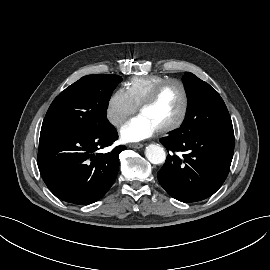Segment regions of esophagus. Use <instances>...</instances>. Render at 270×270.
I'll return each instance as SVG.
<instances>
[{"label":"esophagus","instance_id":"34e87169","mask_svg":"<svg viewBox=\"0 0 270 270\" xmlns=\"http://www.w3.org/2000/svg\"><path fill=\"white\" fill-rule=\"evenodd\" d=\"M129 147L130 148H135V149H140V148L143 147V145L140 144V143H132V144H129Z\"/></svg>","mask_w":270,"mask_h":270}]
</instances>
